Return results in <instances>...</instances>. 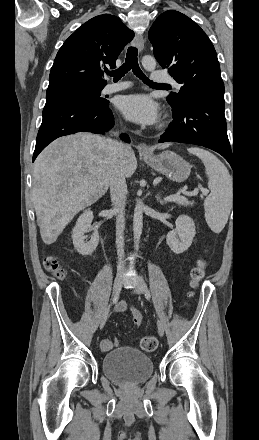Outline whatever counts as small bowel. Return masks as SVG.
<instances>
[{
    "label": "small bowel",
    "mask_w": 259,
    "mask_h": 440,
    "mask_svg": "<svg viewBox=\"0 0 259 440\" xmlns=\"http://www.w3.org/2000/svg\"><path fill=\"white\" fill-rule=\"evenodd\" d=\"M128 309V305L125 302H121L118 306V312L123 313ZM132 310V321L136 326H140L143 322V317L141 313L136 308H131ZM113 344L110 340L105 339L101 343V348L103 351H108L112 348Z\"/></svg>",
    "instance_id": "1"
}]
</instances>
